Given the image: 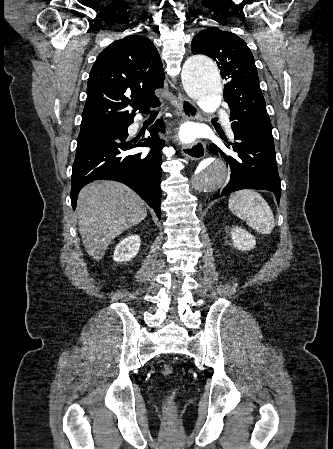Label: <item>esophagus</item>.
<instances>
[{"label":"esophagus","instance_id":"34e87169","mask_svg":"<svg viewBox=\"0 0 333 449\" xmlns=\"http://www.w3.org/2000/svg\"><path fill=\"white\" fill-rule=\"evenodd\" d=\"M179 95V114L183 121L186 120H198L200 118V113L195 106V104L188 99L186 96ZM181 152L184 156L190 158L191 160H199L205 155V146L200 141H197L191 145H183Z\"/></svg>","mask_w":333,"mask_h":449}]
</instances>
